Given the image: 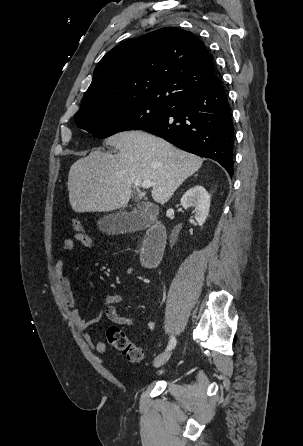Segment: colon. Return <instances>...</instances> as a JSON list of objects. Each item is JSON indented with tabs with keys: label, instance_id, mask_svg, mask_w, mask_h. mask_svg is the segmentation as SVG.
I'll use <instances>...</instances> for the list:
<instances>
[{
	"label": "colon",
	"instance_id": "1",
	"mask_svg": "<svg viewBox=\"0 0 303 446\" xmlns=\"http://www.w3.org/2000/svg\"><path fill=\"white\" fill-rule=\"evenodd\" d=\"M71 227L76 234L89 236L78 219H71ZM106 338L108 344L120 351L127 361L131 363H138L141 361L143 357L142 349L138 345L129 341L127 335L121 328L117 326L108 327L106 330Z\"/></svg>",
	"mask_w": 303,
	"mask_h": 446
}]
</instances>
